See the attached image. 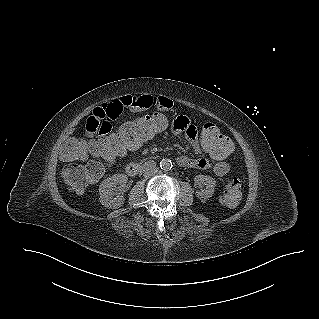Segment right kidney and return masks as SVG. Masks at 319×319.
Masks as SVG:
<instances>
[{
    "instance_id": "ca27d5eb",
    "label": "right kidney",
    "mask_w": 319,
    "mask_h": 319,
    "mask_svg": "<svg viewBox=\"0 0 319 319\" xmlns=\"http://www.w3.org/2000/svg\"><path fill=\"white\" fill-rule=\"evenodd\" d=\"M127 181L125 174H115L102 181L99 187L101 204L112 209L121 207L125 201L122 194Z\"/></svg>"
}]
</instances>
